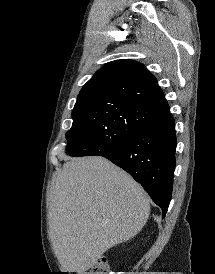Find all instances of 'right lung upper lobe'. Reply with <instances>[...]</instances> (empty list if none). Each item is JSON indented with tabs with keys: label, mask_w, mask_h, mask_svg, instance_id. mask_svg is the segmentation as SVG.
<instances>
[{
	"label": "right lung upper lobe",
	"mask_w": 215,
	"mask_h": 274,
	"mask_svg": "<svg viewBox=\"0 0 215 274\" xmlns=\"http://www.w3.org/2000/svg\"><path fill=\"white\" fill-rule=\"evenodd\" d=\"M96 100L121 101L155 115L169 110L156 78L143 64L128 59L99 69L80 91L76 104Z\"/></svg>",
	"instance_id": "1"
}]
</instances>
